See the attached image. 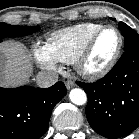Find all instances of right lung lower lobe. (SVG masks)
I'll return each mask as SVG.
<instances>
[{
  "label": "right lung lower lobe",
  "instance_id": "1",
  "mask_svg": "<svg viewBox=\"0 0 139 139\" xmlns=\"http://www.w3.org/2000/svg\"><path fill=\"white\" fill-rule=\"evenodd\" d=\"M63 82L49 88L0 87V139H38L54 106L66 95Z\"/></svg>",
  "mask_w": 139,
  "mask_h": 139
}]
</instances>
